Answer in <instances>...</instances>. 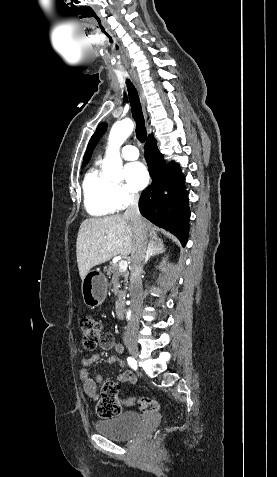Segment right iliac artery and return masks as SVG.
I'll return each instance as SVG.
<instances>
[{"instance_id":"82829eb1","label":"right iliac artery","mask_w":277,"mask_h":477,"mask_svg":"<svg viewBox=\"0 0 277 477\" xmlns=\"http://www.w3.org/2000/svg\"><path fill=\"white\" fill-rule=\"evenodd\" d=\"M127 362H128V364H129L132 368L136 369L137 363H136V361H135L133 358L128 357V358H127Z\"/></svg>"}]
</instances>
